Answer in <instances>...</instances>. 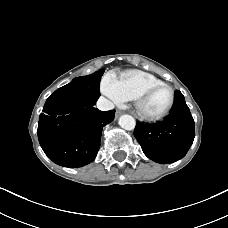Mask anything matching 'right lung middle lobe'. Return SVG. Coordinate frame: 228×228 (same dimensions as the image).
Masks as SVG:
<instances>
[{"label": "right lung middle lobe", "instance_id": "right-lung-middle-lobe-1", "mask_svg": "<svg viewBox=\"0 0 228 228\" xmlns=\"http://www.w3.org/2000/svg\"><path fill=\"white\" fill-rule=\"evenodd\" d=\"M104 70L74 78L69 84L57 89L51 96L66 98L84 106H93L100 96L99 84Z\"/></svg>", "mask_w": 228, "mask_h": 228}]
</instances>
